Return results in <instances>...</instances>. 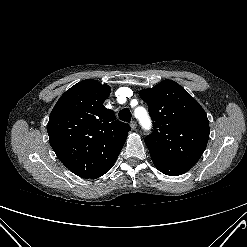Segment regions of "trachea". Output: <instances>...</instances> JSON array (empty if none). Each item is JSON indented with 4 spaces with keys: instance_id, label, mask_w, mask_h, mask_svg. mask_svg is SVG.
Listing matches in <instances>:
<instances>
[{
    "instance_id": "obj_1",
    "label": "trachea",
    "mask_w": 247,
    "mask_h": 247,
    "mask_svg": "<svg viewBox=\"0 0 247 247\" xmlns=\"http://www.w3.org/2000/svg\"><path fill=\"white\" fill-rule=\"evenodd\" d=\"M119 119L124 122H130L131 121V112L129 109L124 108L118 113Z\"/></svg>"
}]
</instances>
